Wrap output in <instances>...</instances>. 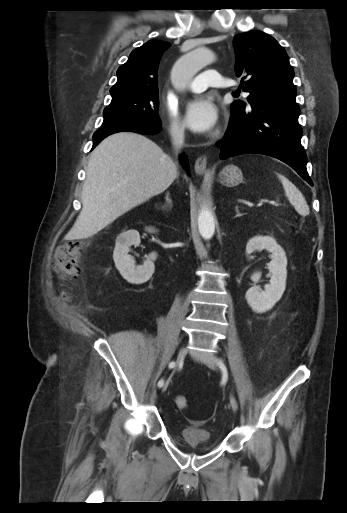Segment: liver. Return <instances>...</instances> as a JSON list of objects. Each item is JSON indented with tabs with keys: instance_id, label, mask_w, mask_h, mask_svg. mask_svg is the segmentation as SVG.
<instances>
[{
	"instance_id": "1",
	"label": "liver",
	"mask_w": 347,
	"mask_h": 513,
	"mask_svg": "<svg viewBox=\"0 0 347 513\" xmlns=\"http://www.w3.org/2000/svg\"><path fill=\"white\" fill-rule=\"evenodd\" d=\"M174 163L152 140L133 132L105 138L91 153L82 210L67 236H93L132 208L162 193L176 179Z\"/></svg>"
}]
</instances>
